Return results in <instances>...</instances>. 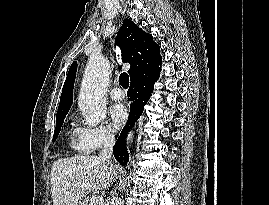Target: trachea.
Returning a JSON list of instances; mask_svg holds the SVG:
<instances>
[{
	"label": "trachea",
	"instance_id": "obj_1",
	"mask_svg": "<svg viewBox=\"0 0 269 205\" xmlns=\"http://www.w3.org/2000/svg\"><path fill=\"white\" fill-rule=\"evenodd\" d=\"M119 82H120V85L127 89L129 87V76L127 73H121L120 76H119Z\"/></svg>",
	"mask_w": 269,
	"mask_h": 205
}]
</instances>
